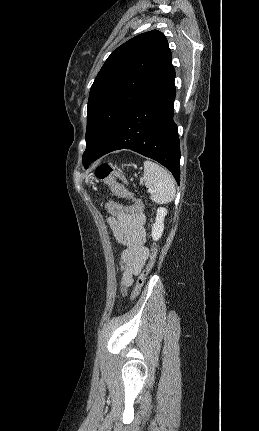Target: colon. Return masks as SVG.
<instances>
[{"mask_svg": "<svg viewBox=\"0 0 259 431\" xmlns=\"http://www.w3.org/2000/svg\"><path fill=\"white\" fill-rule=\"evenodd\" d=\"M95 176L98 180L103 181L108 184L113 194L121 198H130V194L125 187V179L122 174L116 171L112 165L109 163H102L98 165L95 169ZM145 205L141 201H136L135 203H124L120 200L114 202H107L105 204V209L110 217H116L117 219H125L126 217H134L133 212L136 214H141L144 210ZM130 212V214H129ZM157 256V245L152 244L147 263L144 269L139 274L133 293L132 300H135L141 293L145 281L152 270Z\"/></svg>", "mask_w": 259, "mask_h": 431, "instance_id": "1", "label": "colon"}]
</instances>
